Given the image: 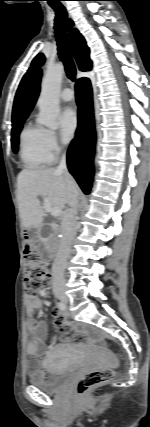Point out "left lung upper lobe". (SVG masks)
I'll list each match as a JSON object with an SVG mask.
<instances>
[{
    "mask_svg": "<svg viewBox=\"0 0 150 427\" xmlns=\"http://www.w3.org/2000/svg\"><path fill=\"white\" fill-rule=\"evenodd\" d=\"M44 61H45V57L42 53H40L34 58V60L32 61V65L40 66L44 63Z\"/></svg>",
    "mask_w": 150,
    "mask_h": 427,
    "instance_id": "5c2ea615",
    "label": "left lung upper lobe"
}]
</instances>
